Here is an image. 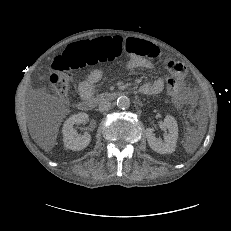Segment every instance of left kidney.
<instances>
[{
  "instance_id": "obj_1",
  "label": "left kidney",
  "mask_w": 231,
  "mask_h": 231,
  "mask_svg": "<svg viewBox=\"0 0 231 231\" xmlns=\"http://www.w3.org/2000/svg\"><path fill=\"white\" fill-rule=\"evenodd\" d=\"M164 126L169 131V133L165 135L164 142L155 137L152 128L146 129V138L149 146L160 154H168L174 152L178 138V125L173 116L167 115L165 117Z\"/></svg>"
}]
</instances>
